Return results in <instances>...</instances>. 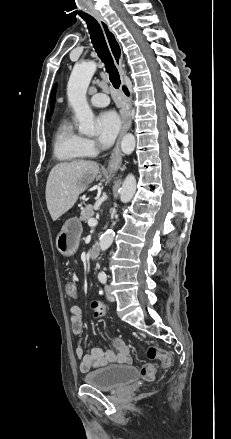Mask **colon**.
Listing matches in <instances>:
<instances>
[{"mask_svg": "<svg viewBox=\"0 0 231 439\" xmlns=\"http://www.w3.org/2000/svg\"><path fill=\"white\" fill-rule=\"evenodd\" d=\"M65 292L71 298H78L80 295L79 290L72 281H68L65 284ZM92 307L94 309L95 317H100L104 313V307L102 304L94 303ZM147 357L151 360H160L165 368L172 367L174 363L172 354L157 346H150L147 349ZM142 375L146 380H152L155 376V367L152 364L145 365L142 368Z\"/></svg>", "mask_w": 231, "mask_h": 439, "instance_id": "colon-1", "label": "colon"}]
</instances>
